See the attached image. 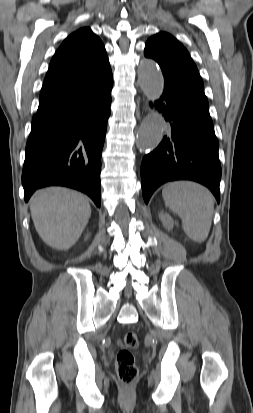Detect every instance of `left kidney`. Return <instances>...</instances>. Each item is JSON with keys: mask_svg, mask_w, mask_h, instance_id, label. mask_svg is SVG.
<instances>
[{"mask_svg": "<svg viewBox=\"0 0 253 413\" xmlns=\"http://www.w3.org/2000/svg\"><path fill=\"white\" fill-rule=\"evenodd\" d=\"M159 218H160L164 228H166L167 230H172L173 229L175 222L169 214L160 212Z\"/></svg>", "mask_w": 253, "mask_h": 413, "instance_id": "left-kidney-1", "label": "left kidney"}]
</instances>
